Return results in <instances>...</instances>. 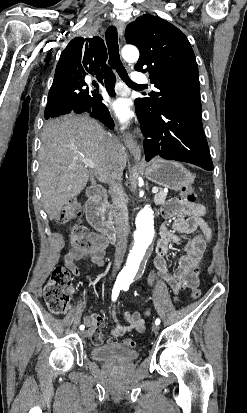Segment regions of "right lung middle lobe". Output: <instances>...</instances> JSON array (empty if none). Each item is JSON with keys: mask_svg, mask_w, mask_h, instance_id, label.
Instances as JSON below:
<instances>
[{"mask_svg": "<svg viewBox=\"0 0 247 413\" xmlns=\"http://www.w3.org/2000/svg\"><path fill=\"white\" fill-rule=\"evenodd\" d=\"M79 84L72 82V81H67V82H53L50 91H49V96L48 99H58V98H63L66 96H70L77 92L79 88Z\"/></svg>", "mask_w": 247, "mask_h": 413, "instance_id": "dd1d6c3e", "label": "right lung middle lobe"}]
</instances>
